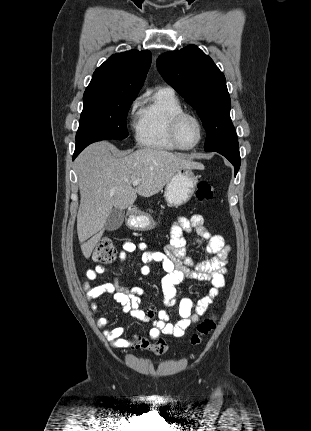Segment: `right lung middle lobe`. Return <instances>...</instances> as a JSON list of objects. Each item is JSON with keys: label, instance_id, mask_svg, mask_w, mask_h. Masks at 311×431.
<instances>
[{"label": "right lung middle lobe", "instance_id": "right-lung-middle-lobe-1", "mask_svg": "<svg viewBox=\"0 0 311 431\" xmlns=\"http://www.w3.org/2000/svg\"><path fill=\"white\" fill-rule=\"evenodd\" d=\"M135 98L111 93H84L76 144L126 138V116Z\"/></svg>", "mask_w": 311, "mask_h": 431}]
</instances>
